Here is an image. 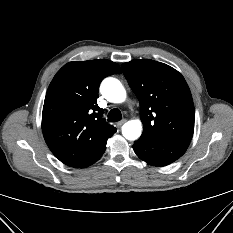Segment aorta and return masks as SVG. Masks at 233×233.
Listing matches in <instances>:
<instances>
[{
    "label": "aorta",
    "mask_w": 233,
    "mask_h": 233,
    "mask_svg": "<svg viewBox=\"0 0 233 233\" xmlns=\"http://www.w3.org/2000/svg\"><path fill=\"white\" fill-rule=\"evenodd\" d=\"M103 96L112 103H121L126 99V91L122 83L113 77H108L101 83ZM142 123L140 120H131L122 127V134L128 140H136L141 136Z\"/></svg>",
    "instance_id": "aorta-1"
}]
</instances>
